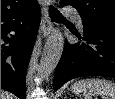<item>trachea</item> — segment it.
Listing matches in <instances>:
<instances>
[{
    "mask_svg": "<svg viewBox=\"0 0 115 99\" xmlns=\"http://www.w3.org/2000/svg\"><path fill=\"white\" fill-rule=\"evenodd\" d=\"M49 15L51 18L63 17L62 14L53 6H49Z\"/></svg>",
    "mask_w": 115,
    "mask_h": 99,
    "instance_id": "1",
    "label": "trachea"
}]
</instances>
